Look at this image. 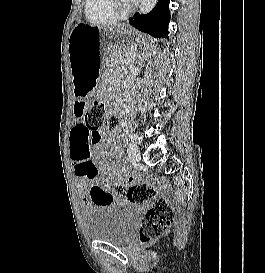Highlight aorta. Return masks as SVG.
I'll return each mask as SVG.
<instances>
[{"label": "aorta", "mask_w": 265, "mask_h": 273, "mask_svg": "<svg viewBox=\"0 0 265 273\" xmlns=\"http://www.w3.org/2000/svg\"><path fill=\"white\" fill-rule=\"evenodd\" d=\"M158 0H142L139 8L141 14L149 13L156 5Z\"/></svg>", "instance_id": "762f6f07"}]
</instances>
